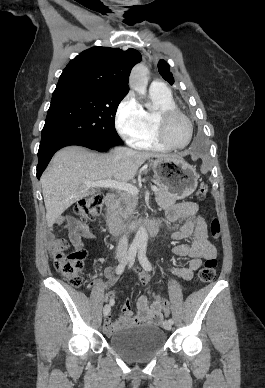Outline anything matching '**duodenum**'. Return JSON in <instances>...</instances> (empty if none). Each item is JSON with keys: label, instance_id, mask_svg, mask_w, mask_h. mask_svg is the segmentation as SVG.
I'll use <instances>...</instances> for the list:
<instances>
[{"label": "duodenum", "instance_id": "duodenum-1", "mask_svg": "<svg viewBox=\"0 0 265 388\" xmlns=\"http://www.w3.org/2000/svg\"><path fill=\"white\" fill-rule=\"evenodd\" d=\"M116 194L108 193L105 196V220L109 231L114 235H120L126 231L145 230L148 234L154 236L160 230V222L155 218L136 221L130 224L124 223L115 209Z\"/></svg>", "mask_w": 265, "mask_h": 388}]
</instances>
